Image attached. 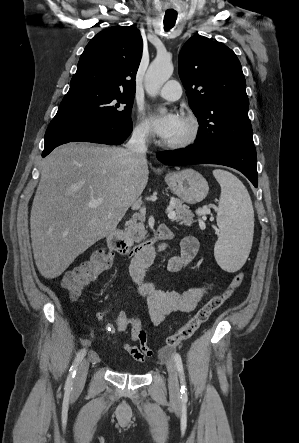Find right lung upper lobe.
Wrapping results in <instances>:
<instances>
[{"mask_svg":"<svg viewBox=\"0 0 299 443\" xmlns=\"http://www.w3.org/2000/svg\"><path fill=\"white\" fill-rule=\"evenodd\" d=\"M143 42L132 26L109 27L95 35L82 53L70 88L135 93Z\"/></svg>","mask_w":299,"mask_h":443,"instance_id":"right-lung-upper-lobe-1","label":"right lung upper lobe"}]
</instances>
